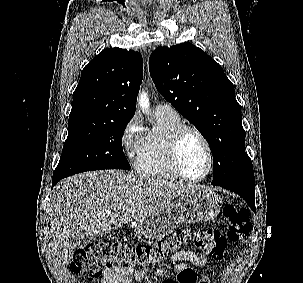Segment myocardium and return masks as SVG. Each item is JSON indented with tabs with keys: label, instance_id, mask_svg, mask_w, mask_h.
<instances>
[{
	"label": "myocardium",
	"instance_id": "myocardium-1",
	"mask_svg": "<svg viewBox=\"0 0 303 283\" xmlns=\"http://www.w3.org/2000/svg\"><path fill=\"white\" fill-rule=\"evenodd\" d=\"M187 132H192L194 133L203 143L206 152H207V157H208V165L205 173L199 177V178H191L189 177L183 170L181 162H180V144L182 141V138ZM168 154H169V159L171 162L172 167L176 171V173L184 180L192 183H197L201 182L204 179L207 178V176L210 174L212 168H213V163H214V157H213V151L212 147L206 138V136L195 126L193 125H188V124H180L177 126L172 133L169 136L168 139Z\"/></svg>",
	"mask_w": 303,
	"mask_h": 283
}]
</instances>
